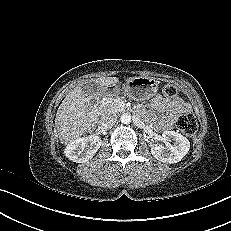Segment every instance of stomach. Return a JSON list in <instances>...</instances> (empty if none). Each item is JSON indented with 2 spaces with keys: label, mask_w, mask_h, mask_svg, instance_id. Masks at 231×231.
I'll list each match as a JSON object with an SVG mask.
<instances>
[{
  "label": "stomach",
  "mask_w": 231,
  "mask_h": 231,
  "mask_svg": "<svg viewBox=\"0 0 231 231\" xmlns=\"http://www.w3.org/2000/svg\"><path fill=\"white\" fill-rule=\"evenodd\" d=\"M158 90V81L151 77H135L126 82L122 88L114 86L107 90V96H115L120 92L132 100L143 101L156 95Z\"/></svg>",
  "instance_id": "stomach-1"
}]
</instances>
